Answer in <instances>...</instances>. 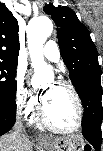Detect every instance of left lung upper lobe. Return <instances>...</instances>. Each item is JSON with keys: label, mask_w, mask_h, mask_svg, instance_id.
Returning a JSON list of instances; mask_svg holds the SVG:
<instances>
[{"label": "left lung upper lobe", "mask_w": 103, "mask_h": 151, "mask_svg": "<svg viewBox=\"0 0 103 151\" xmlns=\"http://www.w3.org/2000/svg\"><path fill=\"white\" fill-rule=\"evenodd\" d=\"M57 26V38L63 61L76 90L89 74L101 73L98 53L88 29L75 12L66 6L45 5L43 9Z\"/></svg>", "instance_id": "1"}]
</instances>
